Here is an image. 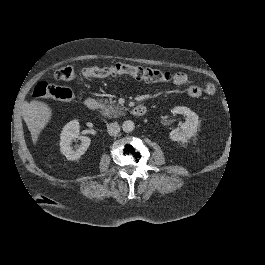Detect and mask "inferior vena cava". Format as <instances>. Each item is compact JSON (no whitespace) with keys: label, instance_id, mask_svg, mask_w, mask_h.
<instances>
[{"label":"inferior vena cava","instance_id":"obj_1","mask_svg":"<svg viewBox=\"0 0 265 265\" xmlns=\"http://www.w3.org/2000/svg\"><path fill=\"white\" fill-rule=\"evenodd\" d=\"M107 130L110 136H116L120 131V126L117 122H113L108 124Z\"/></svg>","mask_w":265,"mask_h":265}]
</instances>
